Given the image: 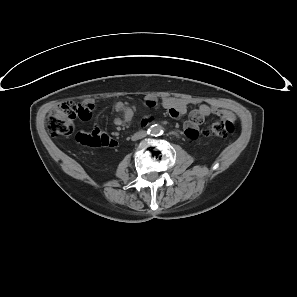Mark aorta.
Listing matches in <instances>:
<instances>
[{"instance_id":"aorta-1","label":"aorta","mask_w":297,"mask_h":297,"mask_svg":"<svg viewBox=\"0 0 297 297\" xmlns=\"http://www.w3.org/2000/svg\"><path fill=\"white\" fill-rule=\"evenodd\" d=\"M163 127L161 125H153L150 129V133L153 136H159L163 134Z\"/></svg>"}]
</instances>
